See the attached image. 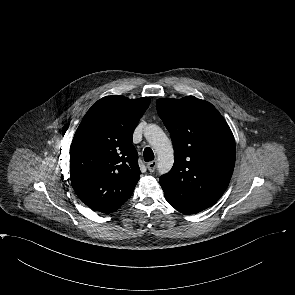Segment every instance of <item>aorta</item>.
Masks as SVG:
<instances>
[{
    "label": "aorta",
    "instance_id": "762f6f07",
    "mask_svg": "<svg viewBox=\"0 0 295 295\" xmlns=\"http://www.w3.org/2000/svg\"><path fill=\"white\" fill-rule=\"evenodd\" d=\"M144 136L157 153L159 173L165 174L170 171L174 163V154L167 135L158 125L149 124L144 129Z\"/></svg>",
    "mask_w": 295,
    "mask_h": 295
}]
</instances>
